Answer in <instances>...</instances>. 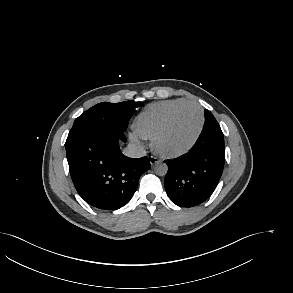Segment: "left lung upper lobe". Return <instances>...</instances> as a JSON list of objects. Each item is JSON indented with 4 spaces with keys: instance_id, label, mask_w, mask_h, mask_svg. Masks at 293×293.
<instances>
[{
    "instance_id": "1",
    "label": "left lung upper lobe",
    "mask_w": 293,
    "mask_h": 293,
    "mask_svg": "<svg viewBox=\"0 0 293 293\" xmlns=\"http://www.w3.org/2000/svg\"><path fill=\"white\" fill-rule=\"evenodd\" d=\"M211 123H218L213 116V114L209 110H205V124L204 126H207Z\"/></svg>"
}]
</instances>
